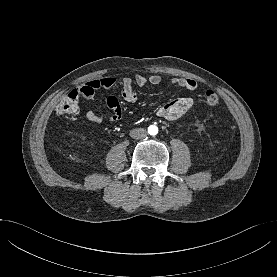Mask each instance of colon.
Listing matches in <instances>:
<instances>
[{
    "mask_svg": "<svg viewBox=\"0 0 277 277\" xmlns=\"http://www.w3.org/2000/svg\"><path fill=\"white\" fill-rule=\"evenodd\" d=\"M80 90H73L66 95L58 104L56 111L61 115H76L79 111ZM205 101L209 106H216L219 103V96L215 91L209 89L205 92Z\"/></svg>",
    "mask_w": 277,
    "mask_h": 277,
    "instance_id": "colon-1",
    "label": "colon"
}]
</instances>
